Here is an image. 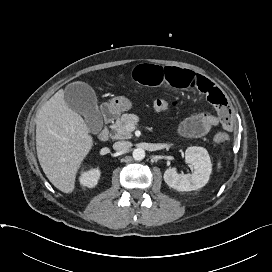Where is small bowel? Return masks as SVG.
<instances>
[{"mask_svg":"<svg viewBox=\"0 0 272 272\" xmlns=\"http://www.w3.org/2000/svg\"><path fill=\"white\" fill-rule=\"evenodd\" d=\"M134 80L146 86L168 84L175 88H190L206 95L216 107L218 116L198 113L183 119L178 125V132L185 137H202L212 128L221 125L226 130L232 129V114L229 103L214 83L205 77L182 68L141 64L135 67Z\"/></svg>","mask_w":272,"mask_h":272,"instance_id":"small-bowel-1","label":"small bowel"}]
</instances>
